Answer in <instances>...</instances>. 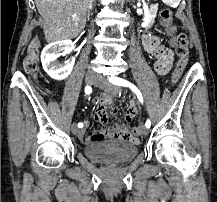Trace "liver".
<instances>
[{
	"label": "liver",
	"mask_w": 217,
	"mask_h": 202,
	"mask_svg": "<svg viewBox=\"0 0 217 202\" xmlns=\"http://www.w3.org/2000/svg\"><path fill=\"white\" fill-rule=\"evenodd\" d=\"M44 20L43 32L48 44L72 40L83 32L89 0H34ZM74 16L77 22L73 20Z\"/></svg>",
	"instance_id": "6515ba94"
}]
</instances>
